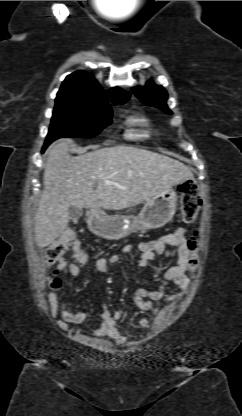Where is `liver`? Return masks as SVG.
<instances>
[{
	"instance_id": "obj_1",
	"label": "liver",
	"mask_w": 242,
	"mask_h": 416,
	"mask_svg": "<svg viewBox=\"0 0 242 416\" xmlns=\"http://www.w3.org/2000/svg\"><path fill=\"white\" fill-rule=\"evenodd\" d=\"M70 144L62 140L51 146L45 164L34 224L40 248L66 229L71 205L95 211L126 209L193 178L182 162L145 149L120 145L71 156Z\"/></svg>"
}]
</instances>
